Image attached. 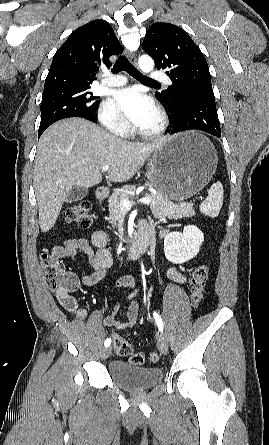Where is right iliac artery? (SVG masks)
Wrapping results in <instances>:
<instances>
[{"instance_id": "right-iliac-artery-1", "label": "right iliac artery", "mask_w": 269, "mask_h": 445, "mask_svg": "<svg viewBox=\"0 0 269 445\" xmlns=\"http://www.w3.org/2000/svg\"><path fill=\"white\" fill-rule=\"evenodd\" d=\"M132 296H133V294L130 295V297H132ZM110 344H111V339L107 338L104 342L105 347H108Z\"/></svg>"}]
</instances>
